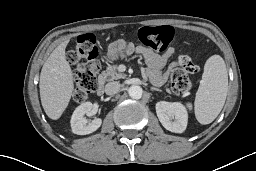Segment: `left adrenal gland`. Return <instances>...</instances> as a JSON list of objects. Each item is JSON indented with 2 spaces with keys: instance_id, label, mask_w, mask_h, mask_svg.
<instances>
[{
  "instance_id": "1",
  "label": "left adrenal gland",
  "mask_w": 256,
  "mask_h": 171,
  "mask_svg": "<svg viewBox=\"0 0 256 171\" xmlns=\"http://www.w3.org/2000/svg\"><path fill=\"white\" fill-rule=\"evenodd\" d=\"M151 90L152 91H160V92L162 91L161 89H158V88H155V87H151Z\"/></svg>"
}]
</instances>
